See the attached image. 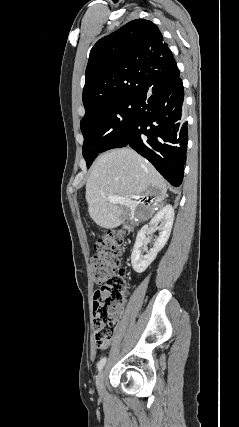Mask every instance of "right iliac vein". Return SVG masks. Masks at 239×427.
I'll return each mask as SVG.
<instances>
[{"label":"right iliac vein","mask_w":239,"mask_h":427,"mask_svg":"<svg viewBox=\"0 0 239 427\" xmlns=\"http://www.w3.org/2000/svg\"><path fill=\"white\" fill-rule=\"evenodd\" d=\"M104 371H100L96 378V386L100 395L103 394Z\"/></svg>","instance_id":"right-iliac-vein-1"}]
</instances>
